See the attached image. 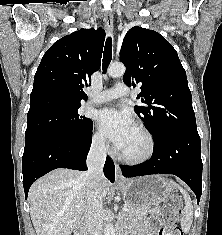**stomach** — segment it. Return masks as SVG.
<instances>
[{"instance_id": "obj_1", "label": "stomach", "mask_w": 222, "mask_h": 235, "mask_svg": "<svg viewBox=\"0 0 222 235\" xmlns=\"http://www.w3.org/2000/svg\"><path fill=\"white\" fill-rule=\"evenodd\" d=\"M120 188L128 206L144 210L167 199L175 186L162 176H146L124 181Z\"/></svg>"}]
</instances>
